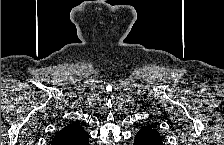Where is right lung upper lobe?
Masks as SVG:
<instances>
[{"label": "right lung upper lobe", "instance_id": "1", "mask_svg": "<svg viewBox=\"0 0 224 145\" xmlns=\"http://www.w3.org/2000/svg\"><path fill=\"white\" fill-rule=\"evenodd\" d=\"M89 138V134L79 124L65 126L56 133L51 145H81L82 141Z\"/></svg>", "mask_w": 224, "mask_h": 145}]
</instances>
